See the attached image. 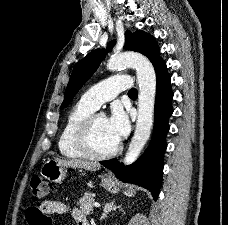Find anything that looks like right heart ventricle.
<instances>
[{"label": "right heart ventricle", "instance_id": "obj_1", "mask_svg": "<svg viewBox=\"0 0 228 225\" xmlns=\"http://www.w3.org/2000/svg\"><path fill=\"white\" fill-rule=\"evenodd\" d=\"M95 110L80 100L69 111L58 140V148L62 156L70 159L88 158L76 144V134L82 122Z\"/></svg>", "mask_w": 228, "mask_h": 225}]
</instances>
